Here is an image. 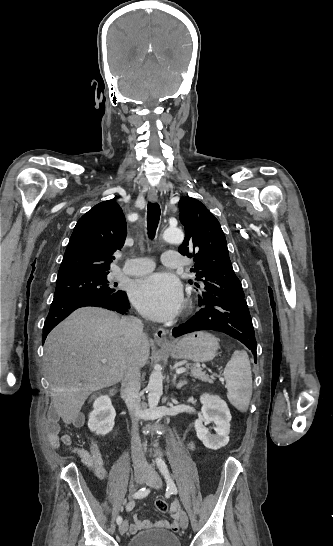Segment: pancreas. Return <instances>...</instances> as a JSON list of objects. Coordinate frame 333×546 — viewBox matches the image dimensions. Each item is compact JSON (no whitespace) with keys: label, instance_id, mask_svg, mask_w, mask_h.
<instances>
[{"label":"pancreas","instance_id":"cf45deb5","mask_svg":"<svg viewBox=\"0 0 333 546\" xmlns=\"http://www.w3.org/2000/svg\"><path fill=\"white\" fill-rule=\"evenodd\" d=\"M186 368L190 370V373H187V374H190V376H192L193 378H196L203 382H209V383L213 382L209 375H207L205 372H203L201 369L197 368L196 366L191 364H186Z\"/></svg>","mask_w":333,"mask_h":546}]
</instances>
